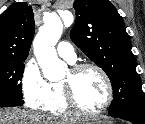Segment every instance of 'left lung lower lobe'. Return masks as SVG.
Returning <instances> with one entry per match:
<instances>
[{
    "instance_id": "1",
    "label": "left lung lower lobe",
    "mask_w": 145,
    "mask_h": 124,
    "mask_svg": "<svg viewBox=\"0 0 145 124\" xmlns=\"http://www.w3.org/2000/svg\"><path fill=\"white\" fill-rule=\"evenodd\" d=\"M111 116L115 118L125 119L134 124H145V117L139 115L120 113V114H112Z\"/></svg>"
}]
</instances>
